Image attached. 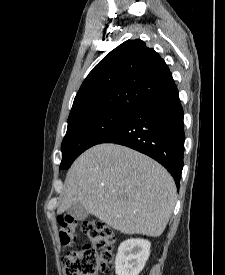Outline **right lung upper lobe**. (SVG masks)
I'll use <instances>...</instances> for the list:
<instances>
[{"label":"right lung upper lobe","mask_w":225,"mask_h":275,"mask_svg":"<svg viewBox=\"0 0 225 275\" xmlns=\"http://www.w3.org/2000/svg\"><path fill=\"white\" fill-rule=\"evenodd\" d=\"M177 89L160 55L142 40H128L105 56L82 83L68 123L92 114L132 111Z\"/></svg>","instance_id":"1"}]
</instances>
